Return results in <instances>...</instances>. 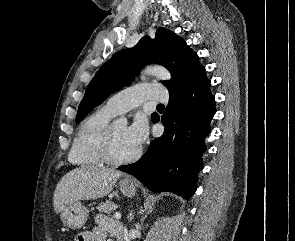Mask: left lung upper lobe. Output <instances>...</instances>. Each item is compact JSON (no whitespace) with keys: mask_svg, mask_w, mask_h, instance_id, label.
Instances as JSON below:
<instances>
[{"mask_svg":"<svg viewBox=\"0 0 295 241\" xmlns=\"http://www.w3.org/2000/svg\"><path fill=\"white\" fill-rule=\"evenodd\" d=\"M151 62L163 65L171 72L173 79L162 82L169 93L182 90L205 71L198 55L187 46L185 40L166 28H159L153 40L145 36L135 47L119 51L103 64L87 87L76 122L82 121L110 93L128 85L133 76ZM156 115L152 114V120Z\"/></svg>","mask_w":295,"mask_h":241,"instance_id":"1","label":"left lung upper lobe"}]
</instances>
